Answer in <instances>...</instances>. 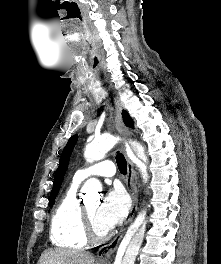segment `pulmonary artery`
<instances>
[{
    "instance_id": "pulmonary-artery-1",
    "label": "pulmonary artery",
    "mask_w": 221,
    "mask_h": 264,
    "mask_svg": "<svg viewBox=\"0 0 221 264\" xmlns=\"http://www.w3.org/2000/svg\"><path fill=\"white\" fill-rule=\"evenodd\" d=\"M116 172L115 165L110 160L100 161L94 165L79 169L73 177L75 183H81L89 177H112Z\"/></svg>"
}]
</instances>
